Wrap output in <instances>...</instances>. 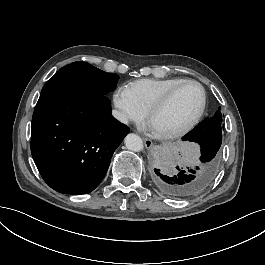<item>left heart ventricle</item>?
Segmentation results:
<instances>
[{
    "label": "left heart ventricle",
    "mask_w": 265,
    "mask_h": 265,
    "mask_svg": "<svg viewBox=\"0 0 265 265\" xmlns=\"http://www.w3.org/2000/svg\"><path fill=\"white\" fill-rule=\"evenodd\" d=\"M201 101L200 88L193 83L185 84L171 102L155 114L152 129L157 133H167L183 127L195 116Z\"/></svg>",
    "instance_id": "obj_1"
}]
</instances>
